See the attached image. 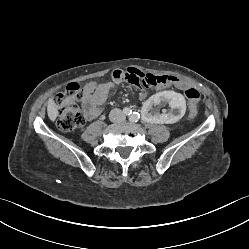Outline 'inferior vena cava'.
<instances>
[{"label": "inferior vena cava", "mask_w": 249, "mask_h": 249, "mask_svg": "<svg viewBox=\"0 0 249 249\" xmlns=\"http://www.w3.org/2000/svg\"><path fill=\"white\" fill-rule=\"evenodd\" d=\"M109 117H110V120L115 123H121L126 118L122 110L118 108L111 110Z\"/></svg>", "instance_id": "inferior-vena-cava-1"}]
</instances>
